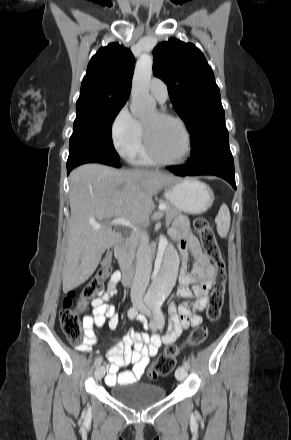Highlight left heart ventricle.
Listing matches in <instances>:
<instances>
[{
  "instance_id": "1",
  "label": "left heart ventricle",
  "mask_w": 291,
  "mask_h": 440,
  "mask_svg": "<svg viewBox=\"0 0 291 440\" xmlns=\"http://www.w3.org/2000/svg\"><path fill=\"white\" fill-rule=\"evenodd\" d=\"M152 144L167 161L181 160L186 153V138L181 127L173 120L160 117L156 111L149 113L143 120Z\"/></svg>"
}]
</instances>
